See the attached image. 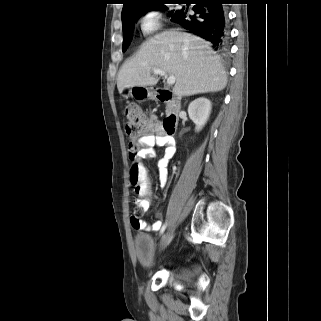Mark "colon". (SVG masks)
Returning <instances> with one entry per match:
<instances>
[{
    "label": "colon",
    "instance_id": "5ec220e1",
    "mask_svg": "<svg viewBox=\"0 0 321 321\" xmlns=\"http://www.w3.org/2000/svg\"><path fill=\"white\" fill-rule=\"evenodd\" d=\"M152 128L150 118L142 111V109L134 104H130L125 109V130L132 142L129 146L132 166L130 170V178L135 186L137 198H148L149 202L153 201L151 197L148 175L143 164L138 160L137 153L139 150L135 140L142 134L149 132ZM142 212L136 207L131 215V220L138 222Z\"/></svg>",
    "mask_w": 321,
    "mask_h": 321
}]
</instances>
